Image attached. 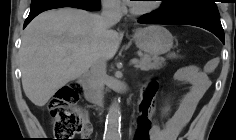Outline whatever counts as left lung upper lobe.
Segmentation results:
<instances>
[{
	"label": "left lung upper lobe",
	"mask_w": 236,
	"mask_h": 140,
	"mask_svg": "<svg viewBox=\"0 0 236 140\" xmlns=\"http://www.w3.org/2000/svg\"><path fill=\"white\" fill-rule=\"evenodd\" d=\"M158 11L165 16L184 14L220 18L215 0H165L161 8L153 13Z\"/></svg>",
	"instance_id": "5c2ea615"
}]
</instances>
